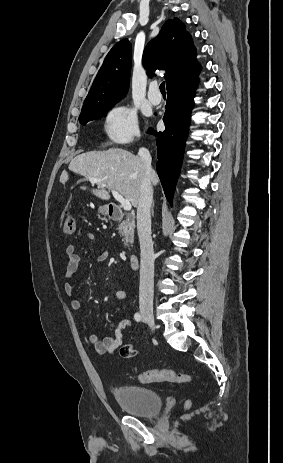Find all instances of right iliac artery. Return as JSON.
<instances>
[{"mask_svg": "<svg viewBox=\"0 0 283 463\" xmlns=\"http://www.w3.org/2000/svg\"><path fill=\"white\" fill-rule=\"evenodd\" d=\"M134 319H135L137 322H140V321H141V315H140L139 313H135Z\"/></svg>", "mask_w": 283, "mask_h": 463, "instance_id": "1", "label": "right iliac artery"}]
</instances>
